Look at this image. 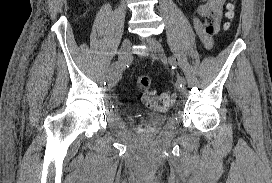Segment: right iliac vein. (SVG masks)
<instances>
[{
    "mask_svg": "<svg viewBox=\"0 0 272 183\" xmlns=\"http://www.w3.org/2000/svg\"><path fill=\"white\" fill-rule=\"evenodd\" d=\"M130 46H131V40L129 38L124 39V41L122 42L121 48L119 50L118 64L115 69H109L107 73V80L109 81L111 86H114L118 82L121 76L122 72L120 73L118 70L120 68L123 70V68L129 61ZM112 70H117L118 74L112 75L111 74Z\"/></svg>",
    "mask_w": 272,
    "mask_h": 183,
    "instance_id": "right-iliac-vein-1",
    "label": "right iliac vein"
}]
</instances>
